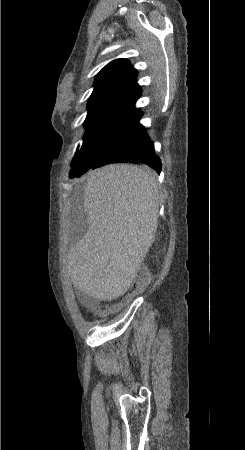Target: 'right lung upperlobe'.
<instances>
[{
  "mask_svg": "<svg viewBox=\"0 0 245 450\" xmlns=\"http://www.w3.org/2000/svg\"><path fill=\"white\" fill-rule=\"evenodd\" d=\"M136 75V70L126 59H116L107 64L96 76L88 108H115L141 113L135 108V102L141 96Z\"/></svg>",
  "mask_w": 245,
  "mask_h": 450,
  "instance_id": "cb5924a9",
  "label": "right lung upper lobe"
}]
</instances>
